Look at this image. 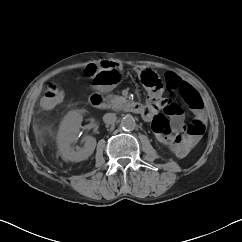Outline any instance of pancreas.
Segmentation results:
<instances>
[{
    "mask_svg": "<svg viewBox=\"0 0 242 242\" xmlns=\"http://www.w3.org/2000/svg\"><path fill=\"white\" fill-rule=\"evenodd\" d=\"M108 99L110 102L109 108H112L113 110L120 109L122 105L127 102L124 97L118 95H109Z\"/></svg>",
    "mask_w": 242,
    "mask_h": 242,
    "instance_id": "obj_1",
    "label": "pancreas"
}]
</instances>
